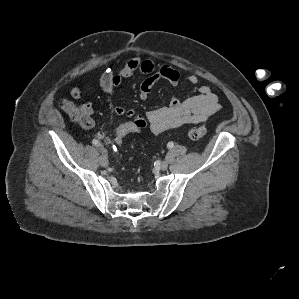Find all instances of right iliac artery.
Here are the masks:
<instances>
[{
    "label": "right iliac artery",
    "mask_w": 299,
    "mask_h": 299,
    "mask_svg": "<svg viewBox=\"0 0 299 299\" xmlns=\"http://www.w3.org/2000/svg\"><path fill=\"white\" fill-rule=\"evenodd\" d=\"M92 143H93V145H95V146H99V145H100V142H99L98 140H96V139H94V140L92 141Z\"/></svg>",
    "instance_id": "obj_1"
}]
</instances>
